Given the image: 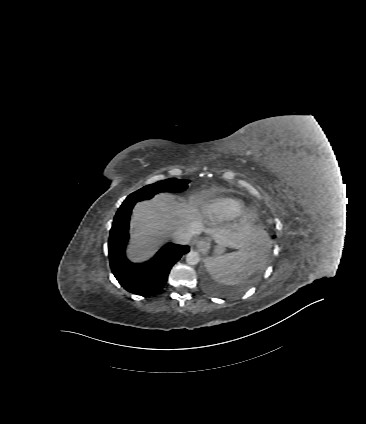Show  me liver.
Returning a JSON list of instances; mask_svg holds the SVG:
<instances>
[{"mask_svg": "<svg viewBox=\"0 0 366 424\" xmlns=\"http://www.w3.org/2000/svg\"><path fill=\"white\" fill-rule=\"evenodd\" d=\"M201 212V201L196 196L179 201L173 195L161 193L150 201L137 203L131 220L128 258L134 263L149 260L173 232L182 227L194 228L195 234L205 231L219 245L235 249L265 241L264 232L245 223H236L232 228L205 229ZM208 214L213 225L220 221V217L214 212Z\"/></svg>", "mask_w": 366, "mask_h": 424, "instance_id": "6515ba94", "label": "liver"}]
</instances>
